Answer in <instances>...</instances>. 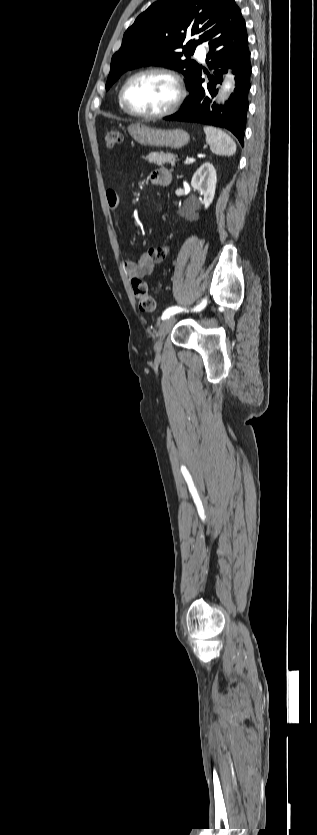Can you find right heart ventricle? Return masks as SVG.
Returning <instances> with one entry per match:
<instances>
[{"label": "right heart ventricle", "instance_id": "e07e8e85", "mask_svg": "<svg viewBox=\"0 0 317 835\" xmlns=\"http://www.w3.org/2000/svg\"><path fill=\"white\" fill-rule=\"evenodd\" d=\"M118 99H119V107H120V109L126 112V110L123 108V106H122V104H121V102H120V98H119V97H118Z\"/></svg>", "mask_w": 317, "mask_h": 835}]
</instances>
